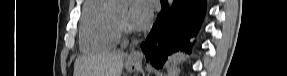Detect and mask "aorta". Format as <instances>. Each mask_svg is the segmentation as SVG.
Instances as JSON below:
<instances>
[{"mask_svg":"<svg viewBox=\"0 0 287 76\" xmlns=\"http://www.w3.org/2000/svg\"><path fill=\"white\" fill-rule=\"evenodd\" d=\"M172 4H173V1H172V0H169V1H168V5H169V7H171V6H172Z\"/></svg>","mask_w":287,"mask_h":76,"instance_id":"1","label":"aorta"}]
</instances>
